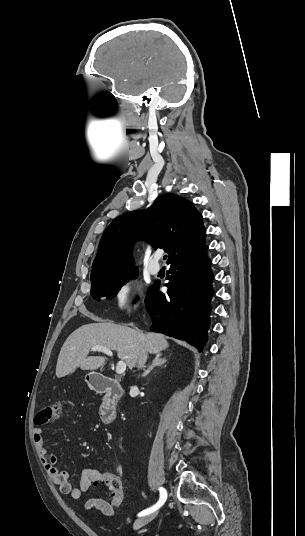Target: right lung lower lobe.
<instances>
[{"instance_id":"right-lung-lower-lobe-1","label":"right lung lower lobe","mask_w":305,"mask_h":536,"mask_svg":"<svg viewBox=\"0 0 305 536\" xmlns=\"http://www.w3.org/2000/svg\"><path fill=\"white\" fill-rule=\"evenodd\" d=\"M207 246L170 262L172 276L165 284L167 294L155 283L148 289L145 304L153 325L151 330L188 341L202 351L210 325L213 274Z\"/></svg>"}]
</instances>
